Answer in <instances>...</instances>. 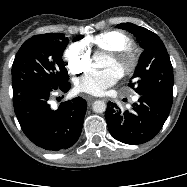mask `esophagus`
<instances>
[{
  "instance_id": "1",
  "label": "esophagus",
  "mask_w": 187,
  "mask_h": 187,
  "mask_svg": "<svg viewBox=\"0 0 187 187\" xmlns=\"http://www.w3.org/2000/svg\"><path fill=\"white\" fill-rule=\"evenodd\" d=\"M84 98L89 105L95 100V98L91 96H85Z\"/></svg>"
}]
</instances>
